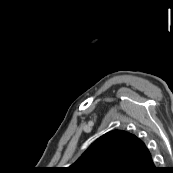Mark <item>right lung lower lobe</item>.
<instances>
[{"label":"right lung lower lobe","mask_w":173,"mask_h":173,"mask_svg":"<svg viewBox=\"0 0 173 173\" xmlns=\"http://www.w3.org/2000/svg\"><path fill=\"white\" fill-rule=\"evenodd\" d=\"M125 173H158V170L154 167L151 156H148L132 165Z\"/></svg>","instance_id":"obj_1"}]
</instances>
